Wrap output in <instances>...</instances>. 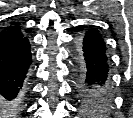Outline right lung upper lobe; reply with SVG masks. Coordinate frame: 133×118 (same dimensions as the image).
I'll list each match as a JSON object with an SVG mask.
<instances>
[{
  "label": "right lung upper lobe",
  "mask_w": 133,
  "mask_h": 118,
  "mask_svg": "<svg viewBox=\"0 0 133 118\" xmlns=\"http://www.w3.org/2000/svg\"><path fill=\"white\" fill-rule=\"evenodd\" d=\"M24 38L18 23H13L5 31L0 33V51L18 43Z\"/></svg>",
  "instance_id": "1"
}]
</instances>
